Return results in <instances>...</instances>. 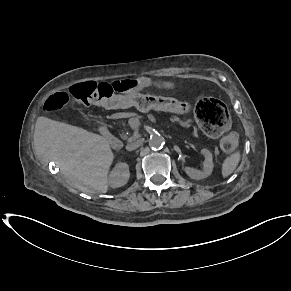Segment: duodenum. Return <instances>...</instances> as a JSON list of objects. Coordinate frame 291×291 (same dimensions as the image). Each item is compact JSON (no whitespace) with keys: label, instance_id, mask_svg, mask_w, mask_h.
I'll list each match as a JSON object with an SVG mask.
<instances>
[{"label":"duodenum","instance_id":"1","mask_svg":"<svg viewBox=\"0 0 291 291\" xmlns=\"http://www.w3.org/2000/svg\"><path fill=\"white\" fill-rule=\"evenodd\" d=\"M100 131L105 132L104 136L111 143L114 151H117L118 148H121L124 145V142L121 139H118L117 136L113 134L110 130L106 131L105 127H100Z\"/></svg>","mask_w":291,"mask_h":291}]
</instances>
